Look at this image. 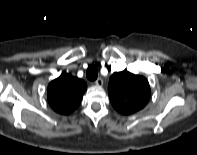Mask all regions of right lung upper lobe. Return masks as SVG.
Here are the masks:
<instances>
[{"label": "right lung upper lobe", "instance_id": "1", "mask_svg": "<svg viewBox=\"0 0 197 155\" xmlns=\"http://www.w3.org/2000/svg\"><path fill=\"white\" fill-rule=\"evenodd\" d=\"M86 88L83 80L62 74L48 85V102L57 113L70 114L79 106Z\"/></svg>", "mask_w": 197, "mask_h": 155}]
</instances>
